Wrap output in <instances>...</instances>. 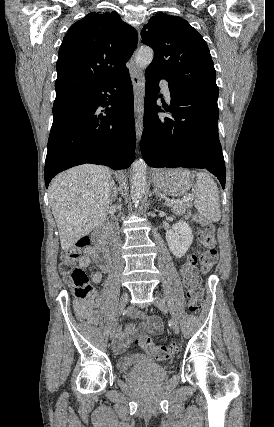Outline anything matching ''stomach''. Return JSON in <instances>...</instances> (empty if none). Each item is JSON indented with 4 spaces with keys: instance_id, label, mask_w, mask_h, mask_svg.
Returning a JSON list of instances; mask_svg holds the SVG:
<instances>
[{
    "instance_id": "stomach-1",
    "label": "stomach",
    "mask_w": 274,
    "mask_h": 427,
    "mask_svg": "<svg viewBox=\"0 0 274 427\" xmlns=\"http://www.w3.org/2000/svg\"><path fill=\"white\" fill-rule=\"evenodd\" d=\"M152 178L155 188L164 192L167 196H184L193 184V174L189 170H152Z\"/></svg>"
}]
</instances>
